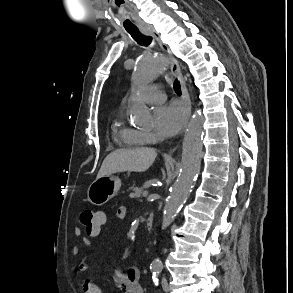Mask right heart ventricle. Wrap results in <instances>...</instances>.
Masks as SVG:
<instances>
[{
    "label": "right heart ventricle",
    "mask_w": 293,
    "mask_h": 293,
    "mask_svg": "<svg viewBox=\"0 0 293 293\" xmlns=\"http://www.w3.org/2000/svg\"><path fill=\"white\" fill-rule=\"evenodd\" d=\"M113 132L115 138L127 147H138L146 143L138 131L124 127L119 120L114 124Z\"/></svg>",
    "instance_id": "obj_1"
}]
</instances>
